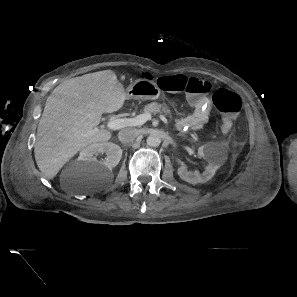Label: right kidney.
Listing matches in <instances>:
<instances>
[{
  "label": "right kidney",
  "mask_w": 297,
  "mask_h": 297,
  "mask_svg": "<svg viewBox=\"0 0 297 297\" xmlns=\"http://www.w3.org/2000/svg\"><path fill=\"white\" fill-rule=\"evenodd\" d=\"M105 153V160L95 161L94 155ZM122 156V149L111 142L95 143L82 149L79 160L91 163L94 167L105 166L109 170L117 166Z\"/></svg>",
  "instance_id": "1"
}]
</instances>
